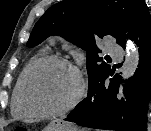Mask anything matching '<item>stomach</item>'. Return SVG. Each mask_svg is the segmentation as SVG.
<instances>
[{
	"mask_svg": "<svg viewBox=\"0 0 151 131\" xmlns=\"http://www.w3.org/2000/svg\"><path fill=\"white\" fill-rule=\"evenodd\" d=\"M43 131H82L76 125L63 120H53Z\"/></svg>",
	"mask_w": 151,
	"mask_h": 131,
	"instance_id": "stomach-1",
	"label": "stomach"
}]
</instances>
